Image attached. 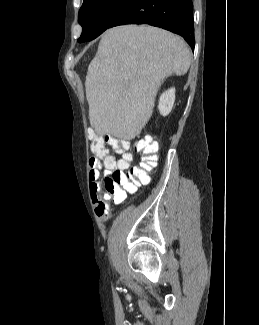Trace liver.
I'll list each match as a JSON object with an SVG mask.
<instances>
[{"instance_id": "liver-1", "label": "liver", "mask_w": 259, "mask_h": 325, "mask_svg": "<svg viewBox=\"0 0 259 325\" xmlns=\"http://www.w3.org/2000/svg\"><path fill=\"white\" fill-rule=\"evenodd\" d=\"M190 64L187 44L169 31L147 25L108 29L86 76L91 126L121 140L139 136L165 77L184 75Z\"/></svg>"}]
</instances>
